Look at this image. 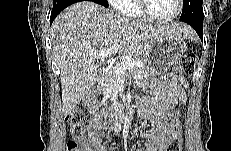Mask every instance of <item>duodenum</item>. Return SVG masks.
Returning a JSON list of instances; mask_svg holds the SVG:
<instances>
[{
  "instance_id": "1",
  "label": "duodenum",
  "mask_w": 231,
  "mask_h": 151,
  "mask_svg": "<svg viewBox=\"0 0 231 151\" xmlns=\"http://www.w3.org/2000/svg\"><path fill=\"white\" fill-rule=\"evenodd\" d=\"M100 89V81H94L91 83L89 86V92L91 93L92 96L97 94ZM126 110L124 108H121L116 115L115 123L117 126H121L124 122V115H125Z\"/></svg>"
}]
</instances>
